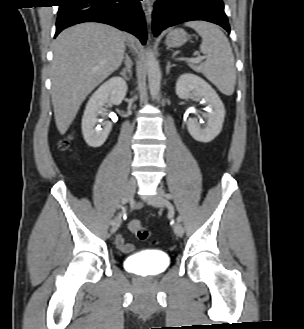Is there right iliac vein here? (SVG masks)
<instances>
[{"instance_id": "63e3f726", "label": "right iliac vein", "mask_w": 304, "mask_h": 329, "mask_svg": "<svg viewBox=\"0 0 304 329\" xmlns=\"http://www.w3.org/2000/svg\"><path fill=\"white\" fill-rule=\"evenodd\" d=\"M136 181L131 178L126 182L125 185V191H124V195L125 197H127L128 199H131L134 195L135 189H136ZM121 223V215H119L116 220L115 223L112 225L111 227V233H115L117 231V229L119 228Z\"/></svg>"}]
</instances>
